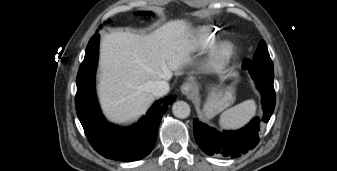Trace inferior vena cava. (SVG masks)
I'll list each match as a JSON object with an SVG mask.
<instances>
[{
    "label": "inferior vena cava",
    "mask_w": 337,
    "mask_h": 171,
    "mask_svg": "<svg viewBox=\"0 0 337 171\" xmlns=\"http://www.w3.org/2000/svg\"><path fill=\"white\" fill-rule=\"evenodd\" d=\"M148 87L154 96H163L169 92V84L165 80L151 81Z\"/></svg>",
    "instance_id": "obj_1"
}]
</instances>
